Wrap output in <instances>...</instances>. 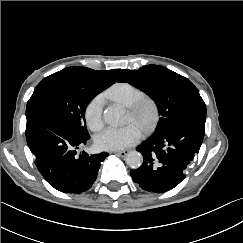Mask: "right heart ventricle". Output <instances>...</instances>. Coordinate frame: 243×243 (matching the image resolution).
<instances>
[{
    "label": "right heart ventricle",
    "mask_w": 243,
    "mask_h": 243,
    "mask_svg": "<svg viewBox=\"0 0 243 243\" xmlns=\"http://www.w3.org/2000/svg\"><path fill=\"white\" fill-rule=\"evenodd\" d=\"M143 95L145 92L141 88L128 82L115 83L106 91L108 98L125 106L133 104Z\"/></svg>",
    "instance_id": "e07e8e85"
}]
</instances>
